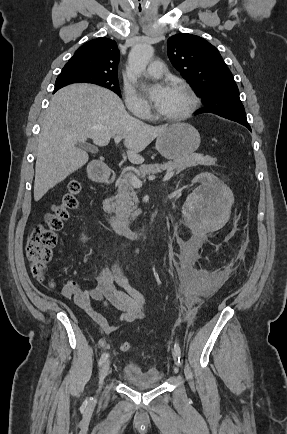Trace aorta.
Returning a JSON list of instances; mask_svg holds the SVG:
<instances>
[{"label":"aorta","instance_id":"obj_1","mask_svg":"<svg viewBox=\"0 0 287 434\" xmlns=\"http://www.w3.org/2000/svg\"><path fill=\"white\" fill-rule=\"evenodd\" d=\"M154 54V48L149 44L134 46L128 57V71L134 76H140L145 71L148 63Z\"/></svg>","mask_w":287,"mask_h":434}]
</instances>
